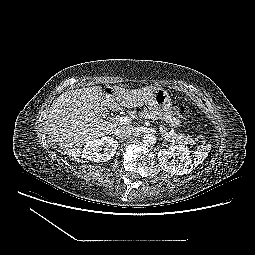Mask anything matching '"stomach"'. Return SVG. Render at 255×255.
I'll use <instances>...</instances> for the list:
<instances>
[{
	"label": "stomach",
	"mask_w": 255,
	"mask_h": 255,
	"mask_svg": "<svg viewBox=\"0 0 255 255\" xmlns=\"http://www.w3.org/2000/svg\"><path fill=\"white\" fill-rule=\"evenodd\" d=\"M110 94V92L105 91ZM148 107L159 119L164 121L170 127H178L181 121L172 107L171 98L168 92L157 87L148 101Z\"/></svg>",
	"instance_id": "obj_1"
}]
</instances>
